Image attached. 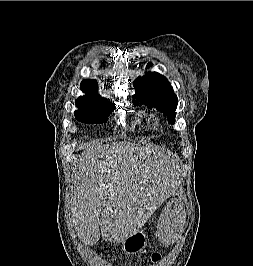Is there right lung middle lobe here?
<instances>
[{"instance_id": "1", "label": "right lung middle lobe", "mask_w": 253, "mask_h": 266, "mask_svg": "<svg viewBox=\"0 0 253 266\" xmlns=\"http://www.w3.org/2000/svg\"><path fill=\"white\" fill-rule=\"evenodd\" d=\"M78 110L75 111V118L87 124L105 123L108 116L114 109V103L109 101H101L85 105H77Z\"/></svg>"}]
</instances>
